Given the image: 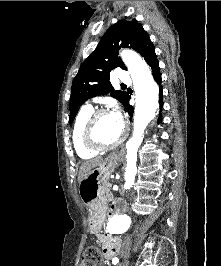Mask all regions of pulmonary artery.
Wrapping results in <instances>:
<instances>
[{
	"mask_svg": "<svg viewBox=\"0 0 221 266\" xmlns=\"http://www.w3.org/2000/svg\"><path fill=\"white\" fill-rule=\"evenodd\" d=\"M117 77H118L120 82H124V83L130 82L129 74L127 72H125L122 68L117 69ZM86 106L91 107L90 104H87Z\"/></svg>",
	"mask_w": 221,
	"mask_h": 266,
	"instance_id": "pulmonary-artery-1",
	"label": "pulmonary artery"
}]
</instances>
